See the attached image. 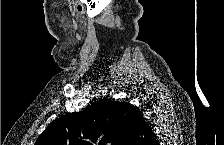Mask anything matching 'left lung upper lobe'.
<instances>
[{
	"label": "left lung upper lobe",
	"instance_id": "1",
	"mask_svg": "<svg viewBox=\"0 0 224 145\" xmlns=\"http://www.w3.org/2000/svg\"><path fill=\"white\" fill-rule=\"evenodd\" d=\"M139 116L131 104L103 98L53 121L36 145H128Z\"/></svg>",
	"mask_w": 224,
	"mask_h": 145
}]
</instances>
